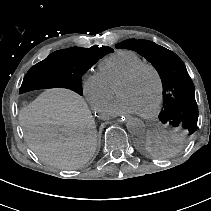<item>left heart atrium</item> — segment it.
Wrapping results in <instances>:
<instances>
[{
    "instance_id": "39dd6f15",
    "label": "left heart atrium",
    "mask_w": 211,
    "mask_h": 211,
    "mask_svg": "<svg viewBox=\"0 0 211 211\" xmlns=\"http://www.w3.org/2000/svg\"><path fill=\"white\" fill-rule=\"evenodd\" d=\"M128 113H135L137 114L138 111L135 107L127 100L126 98H118L115 100L107 110L103 112L106 116H118Z\"/></svg>"
}]
</instances>
